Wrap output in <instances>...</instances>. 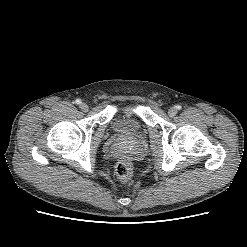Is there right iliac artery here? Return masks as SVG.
<instances>
[{
    "mask_svg": "<svg viewBox=\"0 0 247 247\" xmlns=\"http://www.w3.org/2000/svg\"><path fill=\"white\" fill-rule=\"evenodd\" d=\"M80 102H81V101H80L79 99H76V100H75V103H76V104H79Z\"/></svg>",
    "mask_w": 247,
    "mask_h": 247,
    "instance_id": "right-iliac-artery-1",
    "label": "right iliac artery"
}]
</instances>
